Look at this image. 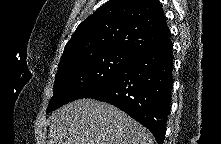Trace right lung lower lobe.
I'll return each instance as SVG.
<instances>
[{
  "label": "right lung lower lobe",
  "mask_w": 221,
  "mask_h": 144,
  "mask_svg": "<svg viewBox=\"0 0 221 144\" xmlns=\"http://www.w3.org/2000/svg\"><path fill=\"white\" fill-rule=\"evenodd\" d=\"M170 36L139 53L116 76L82 98L110 103L147 127L163 144L170 112L172 79Z\"/></svg>",
  "instance_id": "obj_1"
}]
</instances>
